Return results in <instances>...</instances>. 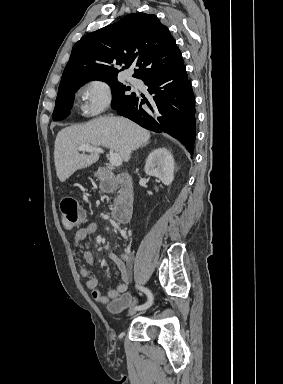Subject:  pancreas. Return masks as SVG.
<instances>
[{
	"mask_svg": "<svg viewBox=\"0 0 283 384\" xmlns=\"http://www.w3.org/2000/svg\"><path fill=\"white\" fill-rule=\"evenodd\" d=\"M114 174L111 172V170H106V178L109 180V178H113Z\"/></svg>",
	"mask_w": 283,
	"mask_h": 384,
	"instance_id": "1",
	"label": "pancreas"
}]
</instances>
